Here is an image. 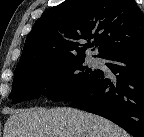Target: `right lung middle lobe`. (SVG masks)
<instances>
[{"label":"right lung middle lobe","instance_id":"dd1d6c3e","mask_svg":"<svg viewBox=\"0 0 144 137\" xmlns=\"http://www.w3.org/2000/svg\"><path fill=\"white\" fill-rule=\"evenodd\" d=\"M84 57H65L53 60H38L16 67L9 98L18 103L34 99L41 88L50 85L44 92L53 101H69L82 94L99 76L100 70L83 66Z\"/></svg>","mask_w":144,"mask_h":137}]
</instances>
